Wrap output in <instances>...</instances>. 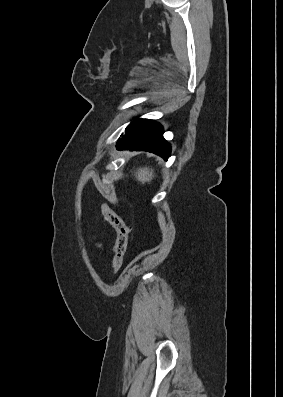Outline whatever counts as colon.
Segmentation results:
<instances>
[{
  "label": "colon",
  "instance_id": "colon-1",
  "mask_svg": "<svg viewBox=\"0 0 283 397\" xmlns=\"http://www.w3.org/2000/svg\"><path fill=\"white\" fill-rule=\"evenodd\" d=\"M101 210L104 218L116 232L114 256L112 260V271L115 273L123 264L129 239V227L122 217L119 216L109 205L102 204Z\"/></svg>",
  "mask_w": 283,
  "mask_h": 397
}]
</instances>
